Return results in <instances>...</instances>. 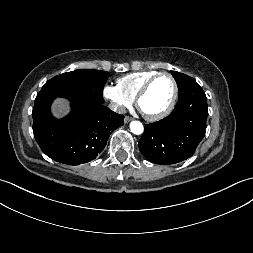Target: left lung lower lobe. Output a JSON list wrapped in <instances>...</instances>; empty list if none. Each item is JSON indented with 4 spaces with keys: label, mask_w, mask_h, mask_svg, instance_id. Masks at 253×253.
Returning <instances> with one entry per match:
<instances>
[{
    "label": "left lung lower lobe",
    "mask_w": 253,
    "mask_h": 253,
    "mask_svg": "<svg viewBox=\"0 0 253 253\" xmlns=\"http://www.w3.org/2000/svg\"><path fill=\"white\" fill-rule=\"evenodd\" d=\"M208 116L207 98L193 83L166 118L146 124L139 140L141 153L155 164L170 165L191 157L205 136Z\"/></svg>",
    "instance_id": "left-lung-lower-lobe-1"
}]
</instances>
